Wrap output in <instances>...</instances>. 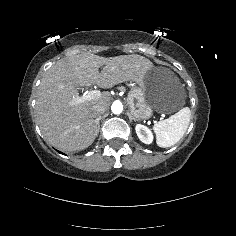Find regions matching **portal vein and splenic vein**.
I'll return each mask as SVG.
<instances>
[{
	"label": "portal vein and splenic vein",
	"instance_id": "portal-vein-and-splenic-vein-1",
	"mask_svg": "<svg viewBox=\"0 0 236 236\" xmlns=\"http://www.w3.org/2000/svg\"><path fill=\"white\" fill-rule=\"evenodd\" d=\"M101 92L99 90H92L89 92H84L82 96H76L73 98L75 104L83 103L85 101H91L93 99L99 98Z\"/></svg>",
	"mask_w": 236,
	"mask_h": 236
}]
</instances>
